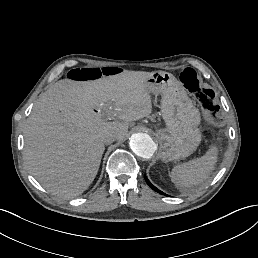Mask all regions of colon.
Masks as SVG:
<instances>
[{"instance_id":"obj_1","label":"colon","mask_w":258,"mask_h":258,"mask_svg":"<svg viewBox=\"0 0 258 258\" xmlns=\"http://www.w3.org/2000/svg\"><path fill=\"white\" fill-rule=\"evenodd\" d=\"M121 70L117 67H102V68H77L68 73V78L76 82L95 81L102 77H111L118 75ZM180 81L184 87L196 98L200 106L208 113H215L217 105L215 102V94L213 90L205 87L192 68L184 69L180 74Z\"/></svg>"}]
</instances>
